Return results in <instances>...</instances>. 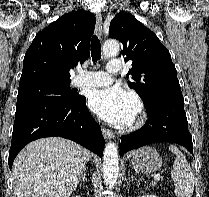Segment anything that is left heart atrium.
<instances>
[{"mask_svg":"<svg viewBox=\"0 0 209 197\" xmlns=\"http://www.w3.org/2000/svg\"><path fill=\"white\" fill-rule=\"evenodd\" d=\"M89 107L102 119L116 126L131 124L138 110L136 98L117 86L93 91L89 97Z\"/></svg>","mask_w":209,"mask_h":197,"instance_id":"obj_1","label":"left heart atrium"}]
</instances>
